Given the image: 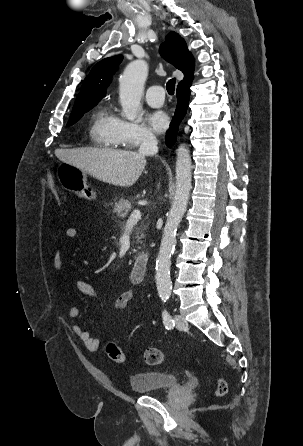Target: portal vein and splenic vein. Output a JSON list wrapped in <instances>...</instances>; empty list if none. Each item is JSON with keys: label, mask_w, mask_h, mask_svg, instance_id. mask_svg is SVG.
Wrapping results in <instances>:
<instances>
[{"label": "portal vein and splenic vein", "mask_w": 303, "mask_h": 446, "mask_svg": "<svg viewBox=\"0 0 303 446\" xmlns=\"http://www.w3.org/2000/svg\"><path fill=\"white\" fill-rule=\"evenodd\" d=\"M139 219H141V212L140 210H134L129 219L127 220V224H134L136 223Z\"/></svg>", "instance_id": "portal-vein-and-splenic-vein-1"}]
</instances>
